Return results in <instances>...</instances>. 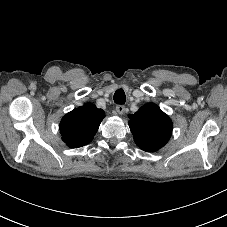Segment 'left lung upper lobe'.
I'll list each match as a JSON object with an SVG mask.
<instances>
[{
    "mask_svg": "<svg viewBox=\"0 0 227 227\" xmlns=\"http://www.w3.org/2000/svg\"><path fill=\"white\" fill-rule=\"evenodd\" d=\"M129 118L134 141L142 150L155 152L168 142L172 133V121L156 104L142 106Z\"/></svg>",
    "mask_w": 227,
    "mask_h": 227,
    "instance_id": "left-lung-upper-lobe-1",
    "label": "left lung upper lobe"
}]
</instances>
